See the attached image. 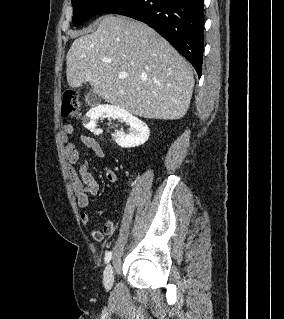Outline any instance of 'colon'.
<instances>
[{"instance_id": "colon-1", "label": "colon", "mask_w": 284, "mask_h": 319, "mask_svg": "<svg viewBox=\"0 0 284 319\" xmlns=\"http://www.w3.org/2000/svg\"><path fill=\"white\" fill-rule=\"evenodd\" d=\"M80 107V100L74 91L68 90L64 92L61 101V115L63 119L68 120L79 115Z\"/></svg>"}]
</instances>
